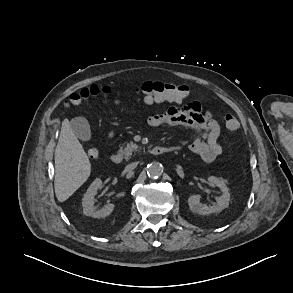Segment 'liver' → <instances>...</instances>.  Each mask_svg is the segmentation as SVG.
Instances as JSON below:
<instances>
[{
    "label": "liver",
    "mask_w": 293,
    "mask_h": 293,
    "mask_svg": "<svg viewBox=\"0 0 293 293\" xmlns=\"http://www.w3.org/2000/svg\"><path fill=\"white\" fill-rule=\"evenodd\" d=\"M90 173L89 158L74 134L69 120L64 119L55 149L54 188L58 201H66L87 181Z\"/></svg>",
    "instance_id": "obj_1"
}]
</instances>
